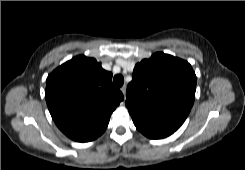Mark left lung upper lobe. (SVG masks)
<instances>
[{"mask_svg":"<svg viewBox=\"0 0 245 170\" xmlns=\"http://www.w3.org/2000/svg\"><path fill=\"white\" fill-rule=\"evenodd\" d=\"M195 90L191 65L157 52L135 65L126 107L133 120L175 132L192 108Z\"/></svg>","mask_w":245,"mask_h":170,"instance_id":"5c2ea615","label":"left lung upper lobe"}]
</instances>
